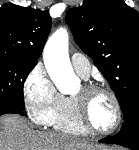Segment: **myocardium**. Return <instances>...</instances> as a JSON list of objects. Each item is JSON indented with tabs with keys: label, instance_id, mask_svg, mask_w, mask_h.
Here are the masks:
<instances>
[{
	"label": "myocardium",
	"instance_id": "myocardium-1",
	"mask_svg": "<svg viewBox=\"0 0 139 150\" xmlns=\"http://www.w3.org/2000/svg\"><path fill=\"white\" fill-rule=\"evenodd\" d=\"M97 93H104L108 95L115 106L116 119L113 126L107 130L96 129L89 119L88 102L90 97ZM73 98L75 102L78 120L88 133L100 136H107L116 132L120 127L123 118L122 107L118 96L112 90L96 84H86L82 87L81 95L75 96Z\"/></svg>",
	"mask_w": 139,
	"mask_h": 150
}]
</instances>
